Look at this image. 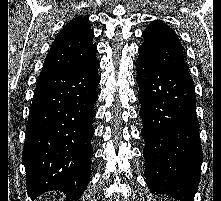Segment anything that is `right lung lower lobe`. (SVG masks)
<instances>
[{
    "label": "right lung lower lobe",
    "instance_id": "1",
    "mask_svg": "<svg viewBox=\"0 0 221 201\" xmlns=\"http://www.w3.org/2000/svg\"><path fill=\"white\" fill-rule=\"evenodd\" d=\"M99 63L81 71L42 70L26 127L22 161L28 195L53 190L74 201L88 185Z\"/></svg>",
    "mask_w": 221,
    "mask_h": 201
}]
</instances>
